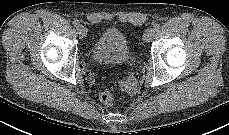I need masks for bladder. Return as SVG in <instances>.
<instances>
[{
	"label": "bladder",
	"instance_id": "bladder-1",
	"mask_svg": "<svg viewBox=\"0 0 229 135\" xmlns=\"http://www.w3.org/2000/svg\"><path fill=\"white\" fill-rule=\"evenodd\" d=\"M130 50L120 28L106 27L94 42L90 57L98 64L115 65L129 58Z\"/></svg>",
	"mask_w": 229,
	"mask_h": 135
}]
</instances>
